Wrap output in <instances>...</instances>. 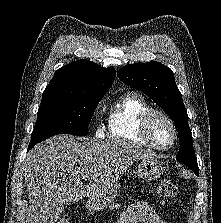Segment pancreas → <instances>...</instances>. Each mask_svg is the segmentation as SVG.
<instances>
[{"mask_svg":"<svg viewBox=\"0 0 221 223\" xmlns=\"http://www.w3.org/2000/svg\"><path fill=\"white\" fill-rule=\"evenodd\" d=\"M119 207H120L119 204H116V205H110V206H109V209H110V210H113L114 208H119Z\"/></svg>","mask_w":221,"mask_h":223,"instance_id":"obj_1","label":"pancreas"}]
</instances>
